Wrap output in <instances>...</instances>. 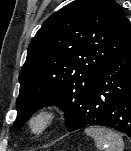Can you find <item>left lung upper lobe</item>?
Instances as JSON below:
<instances>
[{"label":"left lung upper lobe","instance_id":"obj_1","mask_svg":"<svg viewBox=\"0 0 131 151\" xmlns=\"http://www.w3.org/2000/svg\"><path fill=\"white\" fill-rule=\"evenodd\" d=\"M130 48V22L115 0H75L52 14L29 44L14 126L56 105L69 130L100 73Z\"/></svg>","mask_w":131,"mask_h":151}]
</instances>
